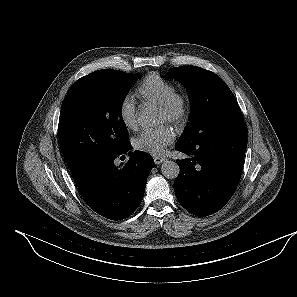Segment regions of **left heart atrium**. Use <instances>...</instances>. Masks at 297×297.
Wrapping results in <instances>:
<instances>
[{
	"label": "left heart atrium",
	"mask_w": 297,
	"mask_h": 297,
	"mask_svg": "<svg viewBox=\"0 0 297 297\" xmlns=\"http://www.w3.org/2000/svg\"><path fill=\"white\" fill-rule=\"evenodd\" d=\"M175 138L173 129L162 125L154 129H146L134 139V147L150 155H161Z\"/></svg>",
	"instance_id": "obj_1"
}]
</instances>
